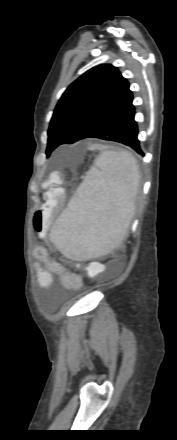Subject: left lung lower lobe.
I'll list each match as a JSON object with an SVG mask.
<instances>
[{
    "label": "left lung lower lobe",
    "mask_w": 177,
    "mask_h": 440,
    "mask_svg": "<svg viewBox=\"0 0 177 440\" xmlns=\"http://www.w3.org/2000/svg\"><path fill=\"white\" fill-rule=\"evenodd\" d=\"M132 101L133 99L108 120L87 133L82 139L99 138L102 140L119 142L128 145L137 153L144 156L137 138L138 127L134 120L135 109Z\"/></svg>",
    "instance_id": "left-lung-lower-lobe-1"
}]
</instances>
